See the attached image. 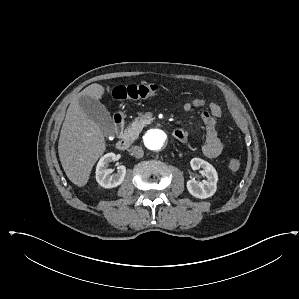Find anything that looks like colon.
Returning a JSON list of instances; mask_svg holds the SVG:
<instances>
[{"instance_id":"colon-1","label":"colon","mask_w":299,"mask_h":299,"mask_svg":"<svg viewBox=\"0 0 299 299\" xmlns=\"http://www.w3.org/2000/svg\"><path fill=\"white\" fill-rule=\"evenodd\" d=\"M158 90V85L154 83H138L115 87L110 96L118 101L137 100L153 97ZM228 165L231 170L236 171L240 168L241 161L238 158H232L229 160Z\"/></svg>"}]
</instances>
